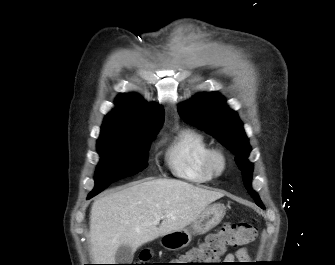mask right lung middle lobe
<instances>
[{"label":"right lung middle lobe","instance_id":"dd1d6c3e","mask_svg":"<svg viewBox=\"0 0 335 265\" xmlns=\"http://www.w3.org/2000/svg\"><path fill=\"white\" fill-rule=\"evenodd\" d=\"M159 126L118 129L101 133L97 150L101 157L95 173V196L111 183L132 176L147 167L150 140Z\"/></svg>","mask_w":335,"mask_h":265}]
</instances>
